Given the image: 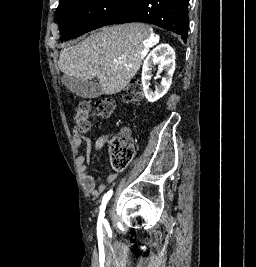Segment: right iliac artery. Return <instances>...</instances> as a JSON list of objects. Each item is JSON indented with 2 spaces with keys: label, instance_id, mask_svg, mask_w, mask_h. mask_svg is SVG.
Instances as JSON below:
<instances>
[{
  "label": "right iliac artery",
  "instance_id": "1",
  "mask_svg": "<svg viewBox=\"0 0 256 267\" xmlns=\"http://www.w3.org/2000/svg\"><path fill=\"white\" fill-rule=\"evenodd\" d=\"M112 193H113V191L110 190L103 196L102 204L100 206L98 222H103L105 220L104 219V216H105L104 212H105L106 204H107L108 200L111 198Z\"/></svg>",
  "mask_w": 256,
  "mask_h": 267
}]
</instances>
